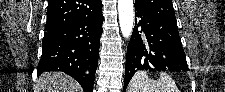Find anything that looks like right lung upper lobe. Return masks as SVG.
I'll return each mask as SVG.
<instances>
[{
  "instance_id": "1",
  "label": "right lung upper lobe",
  "mask_w": 225,
  "mask_h": 92,
  "mask_svg": "<svg viewBox=\"0 0 225 92\" xmlns=\"http://www.w3.org/2000/svg\"><path fill=\"white\" fill-rule=\"evenodd\" d=\"M102 12L101 0H49L45 31L63 28L83 18Z\"/></svg>"
}]
</instances>
